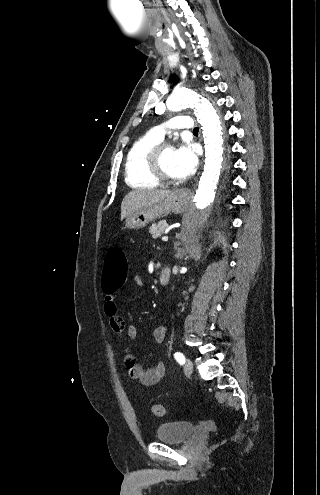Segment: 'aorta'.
I'll use <instances>...</instances> for the list:
<instances>
[{"label": "aorta", "mask_w": 320, "mask_h": 495, "mask_svg": "<svg viewBox=\"0 0 320 495\" xmlns=\"http://www.w3.org/2000/svg\"><path fill=\"white\" fill-rule=\"evenodd\" d=\"M166 105L172 112L192 108L204 136V170L182 226L181 242L189 245L196 241L207 217L215 209L214 195L223 162V129L216 108L195 91L177 89L167 99Z\"/></svg>", "instance_id": "obj_1"}]
</instances>
